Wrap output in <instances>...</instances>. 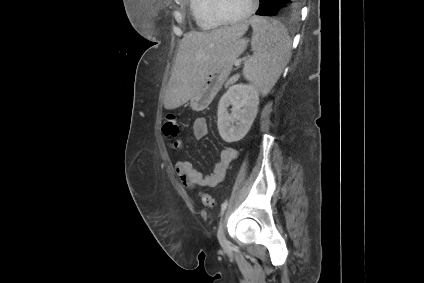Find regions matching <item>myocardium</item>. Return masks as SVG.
Here are the masks:
<instances>
[{"label":"myocardium","mask_w":424,"mask_h":283,"mask_svg":"<svg viewBox=\"0 0 424 283\" xmlns=\"http://www.w3.org/2000/svg\"><path fill=\"white\" fill-rule=\"evenodd\" d=\"M257 0H250V6L245 13L235 18L225 17L219 7V0H209L208 11L213 20L220 24H236L246 21L256 10Z\"/></svg>","instance_id":"f54148a6"}]
</instances>
